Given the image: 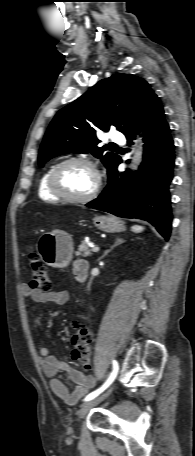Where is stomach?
<instances>
[{
    "mask_svg": "<svg viewBox=\"0 0 195 456\" xmlns=\"http://www.w3.org/2000/svg\"><path fill=\"white\" fill-rule=\"evenodd\" d=\"M93 223L98 229L107 233L121 232L125 229L124 222L112 216H96ZM38 251L47 265L65 267L72 259V237L65 231L53 230L51 233L42 236Z\"/></svg>",
    "mask_w": 195,
    "mask_h": 456,
    "instance_id": "obj_1",
    "label": "stomach"
}]
</instances>
